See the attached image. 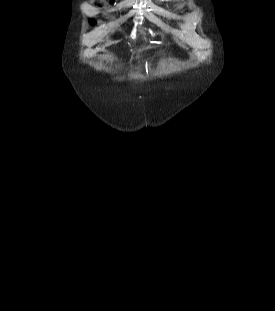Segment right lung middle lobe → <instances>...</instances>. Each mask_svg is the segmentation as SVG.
Here are the masks:
<instances>
[{
	"mask_svg": "<svg viewBox=\"0 0 275 311\" xmlns=\"http://www.w3.org/2000/svg\"><path fill=\"white\" fill-rule=\"evenodd\" d=\"M90 23H91V24H94L95 22H94V20H90Z\"/></svg>",
	"mask_w": 275,
	"mask_h": 311,
	"instance_id": "1",
	"label": "right lung middle lobe"
}]
</instances>
